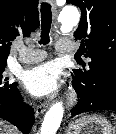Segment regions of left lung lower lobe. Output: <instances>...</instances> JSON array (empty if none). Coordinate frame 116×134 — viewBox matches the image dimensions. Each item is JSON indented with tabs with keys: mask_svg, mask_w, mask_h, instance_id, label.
Returning a JSON list of instances; mask_svg holds the SVG:
<instances>
[{
	"mask_svg": "<svg viewBox=\"0 0 116 134\" xmlns=\"http://www.w3.org/2000/svg\"><path fill=\"white\" fill-rule=\"evenodd\" d=\"M72 83L79 99L71 110V117L99 110L116 111V77H108L104 88L93 94H87L74 76Z\"/></svg>",
	"mask_w": 116,
	"mask_h": 134,
	"instance_id": "1",
	"label": "left lung lower lobe"
}]
</instances>
